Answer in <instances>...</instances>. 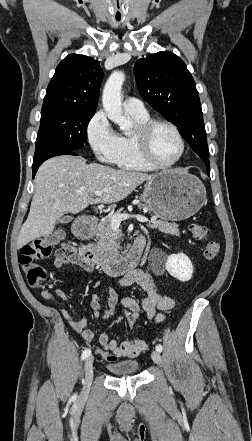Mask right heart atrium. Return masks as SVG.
Segmentation results:
<instances>
[{"label":"right heart atrium","mask_w":252,"mask_h":441,"mask_svg":"<svg viewBox=\"0 0 252 441\" xmlns=\"http://www.w3.org/2000/svg\"><path fill=\"white\" fill-rule=\"evenodd\" d=\"M86 138L98 160L116 163L120 150V135L114 130L104 111H97L89 120Z\"/></svg>","instance_id":"d8ad5b80"}]
</instances>
